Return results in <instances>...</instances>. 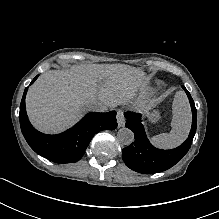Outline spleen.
<instances>
[{"label":"spleen","mask_w":219,"mask_h":219,"mask_svg":"<svg viewBox=\"0 0 219 219\" xmlns=\"http://www.w3.org/2000/svg\"><path fill=\"white\" fill-rule=\"evenodd\" d=\"M173 118L170 133H162L151 138V142L162 149H172L181 145L191 127V110L184 91L176 92L172 104Z\"/></svg>","instance_id":"1"}]
</instances>
